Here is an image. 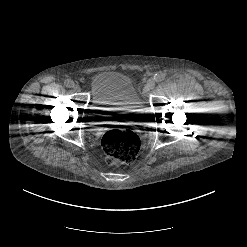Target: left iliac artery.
Segmentation results:
<instances>
[{
    "label": "left iliac artery",
    "instance_id": "1",
    "mask_svg": "<svg viewBox=\"0 0 247 247\" xmlns=\"http://www.w3.org/2000/svg\"><path fill=\"white\" fill-rule=\"evenodd\" d=\"M165 74L164 73H162V72H158V73H156L155 75H154V80L156 81V82H161V81H163L164 79H165Z\"/></svg>",
    "mask_w": 247,
    "mask_h": 247
}]
</instances>
